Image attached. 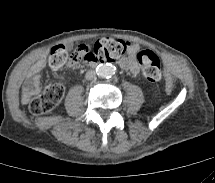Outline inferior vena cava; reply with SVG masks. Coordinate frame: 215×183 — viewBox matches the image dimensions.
<instances>
[{"mask_svg": "<svg viewBox=\"0 0 215 183\" xmlns=\"http://www.w3.org/2000/svg\"><path fill=\"white\" fill-rule=\"evenodd\" d=\"M85 78H86L87 80H93V79H95V78H96V72L93 71V70H89V71L86 73Z\"/></svg>", "mask_w": 215, "mask_h": 183, "instance_id": "obj_1", "label": "inferior vena cava"}]
</instances>
